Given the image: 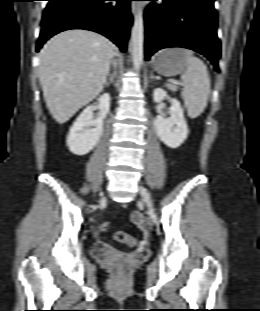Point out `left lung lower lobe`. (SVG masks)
<instances>
[{
	"label": "left lung lower lobe",
	"mask_w": 260,
	"mask_h": 311,
	"mask_svg": "<svg viewBox=\"0 0 260 311\" xmlns=\"http://www.w3.org/2000/svg\"><path fill=\"white\" fill-rule=\"evenodd\" d=\"M156 1V0H150ZM209 0H164L145 13L146 59L167 47H183L207 57L218 69L221 54L217 15Z\"/></svg>",
	"instance_id": "obj_1"
}]
</instances>
